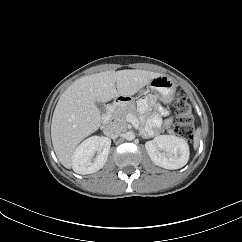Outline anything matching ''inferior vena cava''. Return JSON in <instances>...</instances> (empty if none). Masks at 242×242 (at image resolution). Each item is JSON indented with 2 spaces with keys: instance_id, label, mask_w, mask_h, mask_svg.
I'll return each mask as SVG.
<instances>
[{
  "instance_id": "obj_1",
  "label": "inferior vena cava",
  "mask_w": 242,
  "mask_h": 242,
  "mask_svg": "<svg viewBox=\"0 0 242 242\" xmlns=\"http://www.w3.org/2000/svg\"><path fill=\"white\" fill-rule=\"evenodd\" d=\"M122 127L116 123H113L105 129V135L109 138L116 139L121 135Z\"/></svg>"
}]
</instances>
